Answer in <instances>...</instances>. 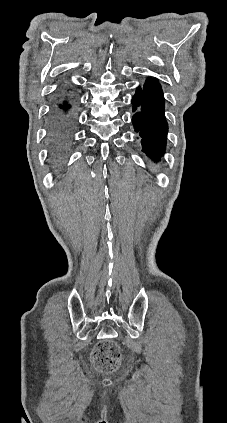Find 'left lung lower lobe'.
<instances>
[{"instance_id":"1","label":"left lung lower lobe","mask_w":227,"mask_h":423,"mask_svg":"<svg viewBox=\"0 0 227 423\" xmlns=\"http://www.w3.org/2000/svg\"><path fill=\"white\" fill-rule=\"evenodd\" d=\"M132 122L139 134L143 151L154 161L160 160L166 147L168 125L164 116V98L158 81L149 79L143 90L137 88L132 99Z\"/></svg>"}]
</instances>
